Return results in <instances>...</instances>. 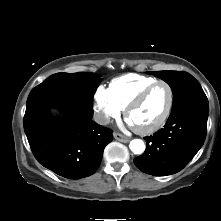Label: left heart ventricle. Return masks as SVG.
<instances>
[{
  "label": "left heart ventricle",
  "mask_w": 221,
  "mask_h": 221,
  "mask_svg": "<svg viewBox=\"0 0 221 221\" xmlns=\"http://www.w3.org/2000/svg\"><path fill=\"white\" fill-rule=\"evenodd\" d=\"M169 91L165 85L155 87L147 98L134 109L129 117L130 124L137 128H147L157 123L166 111Z\"/></svg>",
  "instance_id": "left-heart-ventricle-1"
}]
</instances>
